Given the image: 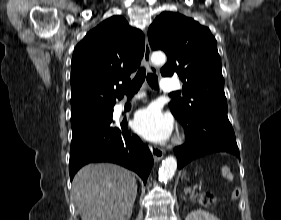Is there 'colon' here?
<instances>
[{"label":"colon","instance_id":"1","mask_svg":"<svg viewBox=\"0 0 281 220\" xmlns=\"http://www.w3.org/2000/svg\"><path fill=\"white\" fill-rule=\"evenodd\" d=\"M240 195V191L239 189H235L231 195H230V199H236L238 198ZM195 198L202 204L204 205H208L211 204L212 202H214L215 198L212 194L210 193H202V194H198L195 196Z\"/></svg>","mask_w":281,"mask_h":220}]
</instances>
